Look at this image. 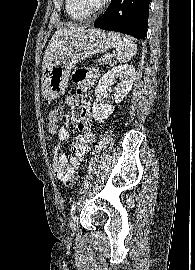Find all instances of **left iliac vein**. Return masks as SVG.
<instances>
[{
    "label": "left iliac vein",
    "instance_id": "obj_1",
    "mask_svg": "<svg viewBox=\"0 0 195 270\" xmlns=\"http://www.w3.org/2000/svg\"><path fill=\"white\" fill-rule=\"evenodd\" d=\"M77 226H78L77 219H76V217H73L72 220H71V223H70L71 230L73 232H76L77 231Z\"/></svg>",
    "mask_w": 195,
    "mask_h": 270
}]
</instances>
